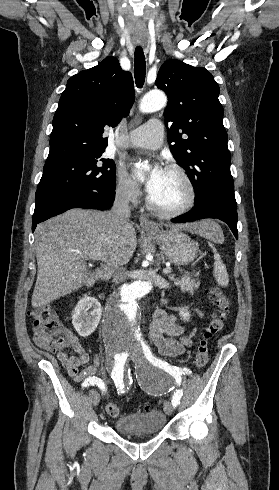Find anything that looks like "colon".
Wrapping results in <instances>:
<instances>
[{
    "mask_svg": "<svg viewBox=\"0 0 279 490\" xmlns=\"http://www.w3.org/2000/svg\"><path fill=\"white\" fill-rule=\"evenodd\" d=\"M210 295L218 308L217 313L208 324L206 330L198 341L195 364L199 368L206 366L209 360V342L226 325L231 309V302L228 296L218 287L210 290ZM35 322V336L38 340V347L54 352H61L71 349L72 329L63 328L53 309L38 307L30 312ZM111 417H118L121 413L120 407L109 402L104 407Z\"/></svg>",
    "mask_w": 279,
    "mask_h": 490,
    "instance_id": "1",
    "label": "colon"
}]
</instances>
